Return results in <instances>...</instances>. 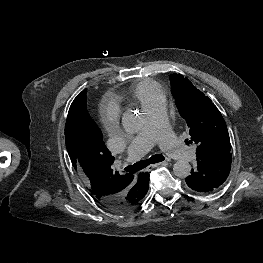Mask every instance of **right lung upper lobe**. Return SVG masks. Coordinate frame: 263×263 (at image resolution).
Wrapping results in <instances>:
<instances>
[{
    "mask_svg": "<svg viewBox=\"0 0 263 263\" xmlns=\"http://www.w3.org/2000/svg\"><path fill=\"white\" fill-rule=\"evenodd\" d=\"M82 91L72 102L65 125V143L73 167L78 172L92 197L103 205L105 201L126 199L123 211L135 208L146 195L140 175H120L113 172L114 157L106 148L103 136L89 117L82 120Z\"/></svg>",
    "mask_w": 263,
    "mask_h": 263,
    "instance_id": "obj_1",
    "label": "right lung upper lobe"
}]
</instances>
